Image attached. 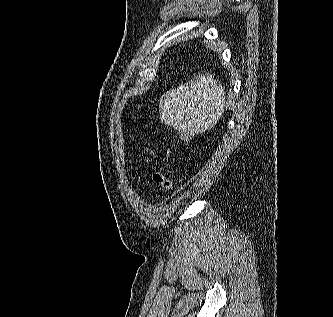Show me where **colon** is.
<instances>
[{"instance_id":"1","label":"colon","mask_w":333,"mask_h":317,"mask_svg":"<svg viewBox=\"0 0 333 317\" xmlns=\"http://www.w3.org/2000/svg\"><path fill=\"white\" fill-rule=\"evenodd\" d=\"M193 136V132L189 129L181 130L179 133V140L182 142L189 141ZM151 178L153 183L160 186L164 192H170L173 188L171 178L162 170L156 169L152 172Z\"/></svg>"}]
</instances>
